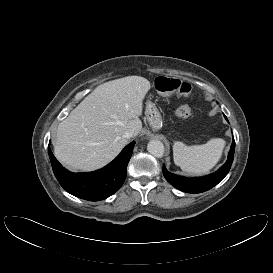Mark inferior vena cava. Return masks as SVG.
I'll list each match as a JSON object with an SVG mask.
<instances>
[{
	"label": "inferior vena cava",
	"instance_id": "1",
	"mask_svg": "<svg viewBox=\"0 0 273 273\" xmlns=\"http://www.w3.org/2000/svg\"><path fill=\"white\" fill-rule=\"evenodd\" d=\"M134 135H135L134 130L129 129V130L125 131V133L123 134V137L128 139V138L133 137Z\"/></svg>",
	"mask_w": 273,
	"mask_h": 273
}]
</instances>
